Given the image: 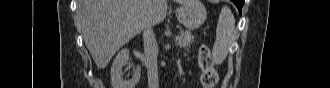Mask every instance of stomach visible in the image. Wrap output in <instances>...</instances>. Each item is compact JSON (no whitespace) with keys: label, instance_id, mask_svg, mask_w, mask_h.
<instances>
[{"label":"stomach","instance_id":"1","mask_svg":"<svg viewBox=\"0 0 330 88\" xmlns=\"http://www.w3.org/2000/svg\"><path fill=\"white\" fill-rule=\"evenodd\" d=\"M178 21L187 29H198L206 20L207 12L205 6L199 0H190L186 5L176 9Z\"/></svg>","mask_w":330,"mask_h":88}]
</instances>
